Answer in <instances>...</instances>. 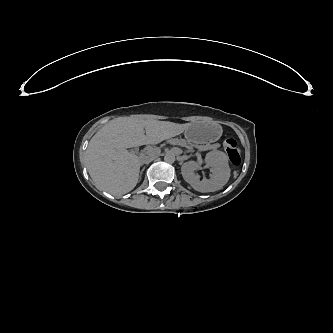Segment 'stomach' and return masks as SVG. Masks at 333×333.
Segmentation results:
<instances>
[{
  "label": "stomach",
  "instance_id": "0dacf381",
  "mask_svg": "<svg viewBox=\"0 0 333 333\" xmlns=\"http://www.w3.org/2000/svg\"><path fill=\"white\" fill-rule=\"evenodd\" d=\"M186 139L189 141V142H192V143H197L198 141H196L195 139H193L190 135H186Z\"/></svg>",
  "mask_w": 333,
  "mask_h": 333
}]
</instances>
